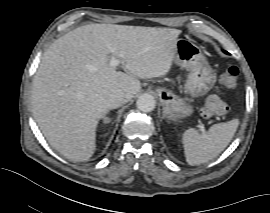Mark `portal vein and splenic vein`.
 Returning <instances> with one entry per match:
<instances>
[{
	"mask_svg": "<svg viewBox=\"0 0 270 213\" xmlns=\"http://www.w3.org/2000/svg\"><path fill=\"white\" fill-rule=\"evenodd\" d=\"M111 65L113 66V67H116L118 64H119V60H117L116 58H114V57H112L111 58ZM200 130L202 131V132H205V128H204V125L203 124H201L200 126Z\"/></svg>",
	"mask_w": 270,
	"mask_h": 213,
	"instance_id": "portal-vein-and-splenic-vein-1",
	"label": "portal vein and splenic vein"
}]
</instances>
